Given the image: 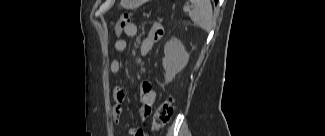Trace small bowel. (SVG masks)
I'll use <instances>...</instances> for the list:
<instances>
[{
	"label": "small bowel",
	"mask_w": 325,
	"mask_h": 136,
	"mask_svg": "<svg viewBox=\"0 0 325 136\" xmlns=\"http://www.w3.org/2000/svg\"><path fill=\"white\" fill-rule=\"evenodd\" d=\"M137 32V25L133 22H130L124 27V29L119 34L116 33V39L114 41L115 51L124 52L127 49V40L122 36H125L126 38H134L137 35ZM163 34L164 29L162 25H154L151 28L149 34L142 40L139 47L140 53L143 55H147L151 51L152 46L163 37ZM121 69V60L113 59L110 63L111 72L113 74H118L120 73ZM125 97V90L122 87L117 86L114 91V100L116 102V106L113 110V116L116 123L120 121V117L122 114V107L120 106V104L125 100ZM138 99L140 103V123L142 124L146 122V120L149 118L155 100L154 91L150 84L143 83L140 85ZM130 133L133 136H145L146 134V132L141 128L140 125L132 127L130 129Z\"/></svg>",
	"instance_id": "obj_1"
}]
</instances>
